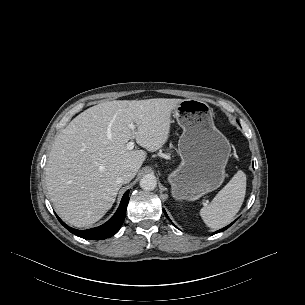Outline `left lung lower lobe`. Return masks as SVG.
Wrapping results in <instances>:
<instances>
[{"label": "left lung lower lobe", "mask_w": 305, "mask_h": 305, "mask_svg": "<svg viewBox=\"0 0 305 305\" xmlns=\"http://www.w3.org/2000/svg\"><path fill=\"white\" fill-rule=\"evenodd\" d=\"M164 213L166 214L165 210H164ZM166 216H167V214H166ZM231 224H232V223H231ZM231 224H230V225H231ZM230 225H228L227 227H225V228H223V229H220V230L216 231L215 233L224 231V230L227 229Z\"/></svg>", "instance_id": "1"}]
</instances>
